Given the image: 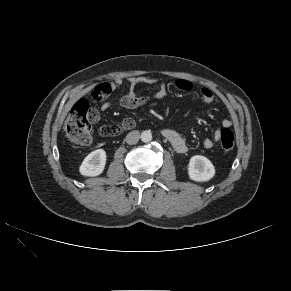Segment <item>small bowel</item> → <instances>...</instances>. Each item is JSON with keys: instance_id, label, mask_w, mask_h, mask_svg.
<instances>
[{"instance_id": "obj_1", "label": "small bowel", "mask_w": 291, "mask_h": 291, "mask_svg": "<svg viewBox=\"0 0 291 291\" xmlns=\"http://www.w3.org/2000/svg\"><path fill=\"white\" fill-rule=\"evenodd\" d=\"M128 82L130 84V90L127 94L122 96L119 99V104L126 109H136L147 102V98L145 97H140L136 94L135 92V87L140 84V83H147V84H152L155 83L156 80L150 77H131L128 79ZM123 83V79L120 77L115 78L112 82L110 83H103L98 85L97 87H105L108 90V93L106 94L109 95L113 91H115L118 87H120ZM175 86L177 89L181 91H190L193 88V84L191 81L183 78H179L175 81ZM166 95V87L164 84H161L155 94L156 99H161ZM105 96V97H106ZM214 100V93L213 91L208 88V87H203L200 90V101L204 104H209ZM111 107V103L109 101H104L100 109L102 111H107ZM96 112V118L95 121L98 119L99 115L98 112ZM223 127L229 128L231 126V121L226 119L223 121ZM163 136L171 143L173 146L174 150L178 153H184L187 151V144L182 137V135L175 129L172 128H166L162 131ZM220 138V131H216L214 135V139L218 140ZM213 140L212 139H205L203 141V146L206 149H210L213 147Z\"/></svg>"}]
</instances>
